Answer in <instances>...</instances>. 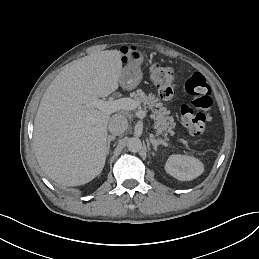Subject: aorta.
Returning a JSON list of instances; mask_svg holds the SVG:
<instances>
[{"label": "aorta", "mask_w": 259, "mask_h": 259, "mask_svg": "<svg viewBox=\"0 0 259 259\" xmlns=\"http://www.w3.org/2000/svg\"><path fill=\"white\" fill-rule=\"evenodd\" d=\"M127 148L131 152H139L142 149V142L137 137H131L127 140Z\"/></svg>", "instance_id": "762f6f07"}]
</instances>
